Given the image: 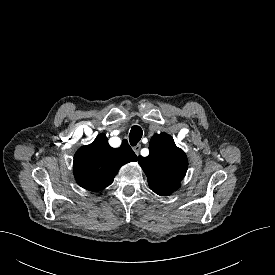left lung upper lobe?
Listing matches in <instances>:
<instances>
[{"label": "left lung upper lobe", "mask_w": 275, "mask_h": 275, "mask_svg": "<svg viewBox=\"0 0 275 275\" xmlns=\"http://www.w3.org/2000/svg\"><path fill=\"white\" fill-rule=\"evenodd\" d=\"M149 151L147 157L139 156L138 159L149 187L160 196L170 195L180 187L186 174L187 157L166 133L155 134L151 138Z\"/></svg>", "instance_id": "1"}]
</instances>
